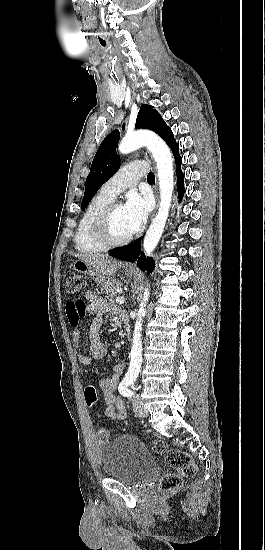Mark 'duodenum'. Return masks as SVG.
I'll use <instances>...</instances> for the list:
<instances>
[{
	"mask_svg": "<svg viewBox=\"0 0 265 550\" xmlns=\"http://www.w3.org/2000/svg\"><path fill=\"white\" fill-rule=\"evenodd\" d=\"M124 328H125V335L128 337L130 335V325L128 321H125Z\"/></svg>",
	"mask_w": 265,
	"mask_h": 550,
	"instance_id": "duodenum-1",
	"label": "duodenum"
}]
</instances>
